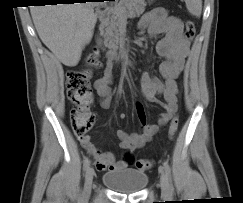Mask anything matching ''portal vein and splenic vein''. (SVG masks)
<instances>
[{"instance_id":"1","label":"portal vein and splenic vein","mask_w":243,"mask_h":203,"mask_svg":"<svg viewBox=\"0 0 243 203\" xmlns=\"http://www.w3.org/2000/svg\"><path fill=\"white\" fill-rule=\"evenodd\" d=\"M116 10H119V8H116V7H114ZM127 17H132V14H128L127 16H125V18L127 19Z\"/></svg>"}]
</instances>
